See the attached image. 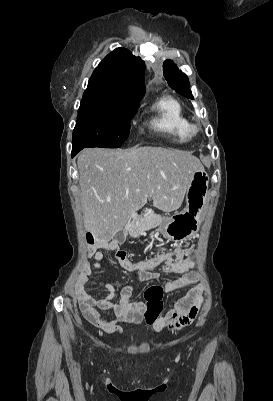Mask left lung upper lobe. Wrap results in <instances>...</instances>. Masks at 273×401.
<instances>
[{
	"instance_id": "obj_1",
	"label": "left lung upper lobe",
	"mask_w": 273,
	"mask_h": 401,
	"mask_svg": "<svg viewBox=\"0 0 273 401\" xmlns=\"http://www.w3.org/2000/svg\"><path fill=\"white\" fill-rule=\"evenodd\" d=\"M164 77L169 86L177 93L194 99L191 95L190 83L188 77L182 73L171 60H166L163 64Z\"/></svg>"
}]
</instances>
